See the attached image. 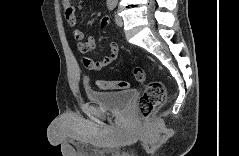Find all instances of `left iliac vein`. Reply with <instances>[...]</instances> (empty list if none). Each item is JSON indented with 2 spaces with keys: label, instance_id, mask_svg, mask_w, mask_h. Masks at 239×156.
Returning <instances> with one entry per match:
<instances>
[{
  "label": "left iliac vein",
  "instance_id": "4c4485c4",
  "mask_svg": "<svg viewBox=\"0 0 239 156\" xmlns=\"http://www.w3.org/2000/svg\"><path fill=\"white\" fill-rule=\"evenodd\" d=\"M115 22H116V24H117L119 27H122V25H123V20H122V18H121L117 13H115Z\"/></svg>",
  "mask_w": 239,
  "mask_h": 156
}]
</instances>
